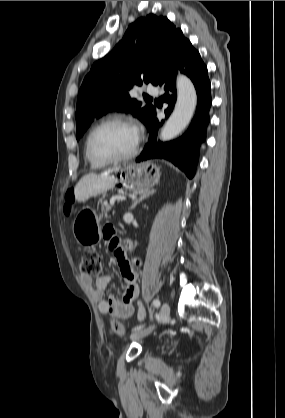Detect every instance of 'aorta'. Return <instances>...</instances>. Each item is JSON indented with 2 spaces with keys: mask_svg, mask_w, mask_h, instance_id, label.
<instances>
[{
  "mask_svg": "<svg viewBox=\"0 0 285 418\" xmlns=\"http://www.w3.org/2000/svg\"><path fill=\"white\" fill-rule=\"evenodd\" d=\"M177 102L175 108L163 126L160 139L168 141L179 135L189 124L196 108L197 94L191 80L185 75H178Z\"/></svg>",
  "mask_w": 285,
  "mask_h": 418,
  "instance_id": "1",
  "label": "aorta"
}]
</instances>
